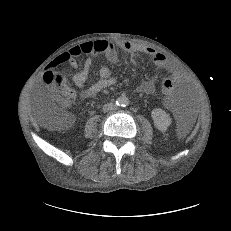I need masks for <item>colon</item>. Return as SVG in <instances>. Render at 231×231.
Masks as SVG:
<instances>
[{
  "instance_id": "obj_1",
  "label": "colon",
  "mask_w": 231,
  "mask_h": 231,
  "mask_svg": "<svg viewBox=\"0 0 231 231\" xmlns=\"http://www.w3.org/2000/svg\"><path fill=\"white\" fill-rule=\"evenodd\" d=\"M65 58L61 59V62ZM44 81L51 88L47 91L48 106L42 112L45 126L52 130H60L70 124L71 118L65 111L73 97L72 90L64 85L65 78L57 70L50 69L44 73ZM160 87L165 94H170L176 89V82L165 77L160 82Z\"/></svg>"
}]
</instances>
